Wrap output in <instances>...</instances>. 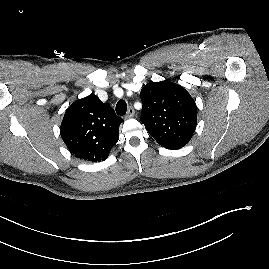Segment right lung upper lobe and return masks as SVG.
Wrapping results in <instances>:
<instances>
[{"label":"right lung upper lobe","mask_w":269,"mask_h":269,"mask_svg":"<svg viewBox=\"0 0 269 269\" xmlns=\"http://www.w3.org/2000/svg\"><path fill=\"white\" fill-rule=\"evenodd\" d=\"M122 121L111 106L101 102L96 95H89L75 101L66 110L60 134L76 157L100 162L117 143Z\"/></svg>","instance_id":"obj_1"}]
</instances>
